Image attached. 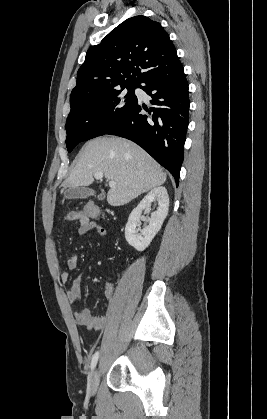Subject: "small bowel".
I'll return each mask as SVG.
<instances>
[{
  "instance_id": "obj_1",
  "label": "small bowel",
  "mask_w": 267,
  "mask_h": 419,
  "mask_svg": "<svg viewBox=\"0 0 267 419\" xmlns=\"http://www.w3.org/2000/svg\"><path fill=\"white\" fill-rule=\"evenodd\" d=\"M63 219L67 222H77L78 233L80 235L87 234L91 231L95 232L100 237H105L107 235V230L105 227L83 217L80 211H70L64 215ZM67 267L69 270L76 269L78 267V257H69L67 260ZM60 280L61 282L66 283L69 280V273L67 271L61 272ZM80 282L81 275L73 280L70 289L66 292L67 299L71 304H75L79 300ZM114 290L115 286L112 282L108 281L105 283L104 295L107 299L111 300L113 298ZM74 320L77 324L86 326L88 329L92 330H101L107 323L106 316H93L91 310L88 308L74 312Z\"/></svg>"
}]
</instances>
